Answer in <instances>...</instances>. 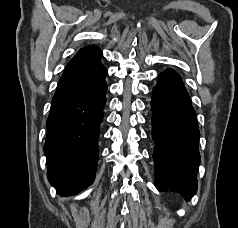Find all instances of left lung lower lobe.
<instances>
[{
    "mask_svg": "<svg viewBox=\"0 0 238 228\" xmlns=\"http://www.w3.org/2000/svg\"><path fill=\"white\" fill-rule=\"evenodd\" d=\"M152 91L155 186L191 199L197 190L199 129L180 76L167 69Z\"/></svg>",
    "mask_w": 238,
    "mask_h": 228,
    "instance_id": "1",
    "label": "left lung lower lobe"
}]
</instances>
